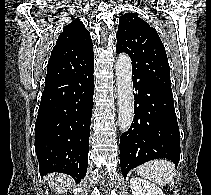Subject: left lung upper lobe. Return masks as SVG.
<instances>
[{
    "label": "left lung upper lobe",
    "mask_w": 211,
    "mask_h": 195,
    "mask_svg": "<svg viewBox=\"0 0 211 195\" xmlns=\"http://www.w3.org/2000/svg\"><path fill=\"white\" fill-rule=\"evenodd\" d=\"M116 51L127 53L132 73L141 76L167 95H172L170 68L164 45L156 30L137 16H121L117 31Z\"/></svg>",
    "instance_id": "1"
}]
</instances>
